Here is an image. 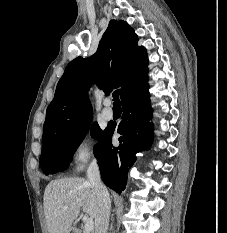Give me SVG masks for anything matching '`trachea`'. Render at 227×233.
Here are the masks:
<instances>
[{"label":"trachea","instance_id":"1","mask_svg":"<svg viewBox=\"0 0 227 233\" xmlns=\"http://www.w3.org/2000/svg\"><path fill=\"white\" fill-rule=\"evenodd\" d=\"M113 98H114V106L120 105V101H119V90H116L113 92Z\"/></svg>","mask_w":227,"mask_h":233}]
</instances>
